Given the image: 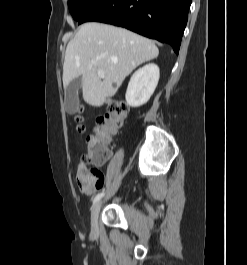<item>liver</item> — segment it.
<instances>
[{
    "label": "liver",
    "mask_w": 247,
    "mask_h": 265,
    "mask_svg": "<svg viewBox=\"0 0 247 265\" xmlns=\"http://www.w3.org/2000/svg\"><path fill=\"white\" fill-rule=\"evenodd\" d=\"M158 54L154 42L136 33L102 23H85L67 45L63 86L81 77L84 101L100 107L137 66ZM98 69L105 78L99 77Z\"/></svg>",
    "instance_id": "obj_1"
}]
</instances>
